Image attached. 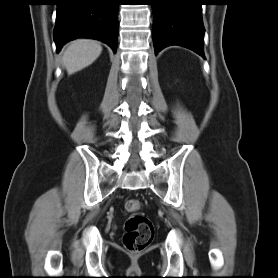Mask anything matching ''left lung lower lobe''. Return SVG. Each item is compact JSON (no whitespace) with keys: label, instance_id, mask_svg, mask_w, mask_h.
I'll return each instance as SVG.
<instances>
[{"label":"left lung lower lobe","instance_id":"0a47b994","mask_svg":"<svg viewBox=\"0 0 278 278\" xmlns=\"http://www.w3.org/2000/svg\"><path fill=\"white\" fill-rule=\"evenodd\" d=\"M202 4V0H152L155 54L180 45L205 58Z\"/></svg>","mask_w":278,"mask_h":278}]
</instances>
